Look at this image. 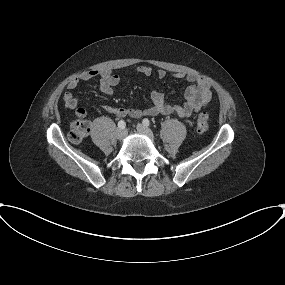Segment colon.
Instances as JSON below:
<instances>
[{
  "instance_id": "5ec220e1",
  "label": "colon",
  "mask_w": 285,
  "mask_h": 285,
  "mask_svg": "<svg viewBox=\"0 0 285 285\" xmlns=\"http://www.w3.org/2000/svg\"><path fill=\"white\" fill-rule=\"evenodd\" d=\"M208 114L206 112H201L196 120V129L198 133H205L208 130ZM90 132V123L87 120L79 118L75 120L72 125L68 138L72 143H81Z\"/></svg>"
}]
</instances>
